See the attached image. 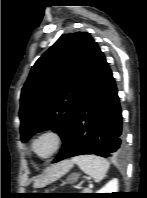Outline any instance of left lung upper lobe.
<instances>
[{
  "mask_svg": "<svg viewBox=\"0 0 147 198\" xmlns=\"http://www.w3.org/2000/svg\"><path fill=\"white\" fill-rule=\"evenodd\" d=\"M98 49L89 33H68L37 60L21 92L22 141L50 128L64 139L89 84Z\"/></svg>",
  "mask_w": 147,
  "mask_h": 198,
  "instance_id": "5c2ea615",
  "label": "left lung upper lobe"
}]
</instances>
